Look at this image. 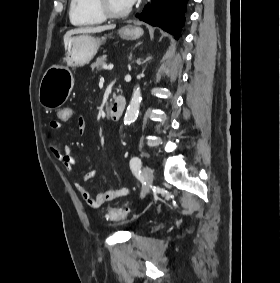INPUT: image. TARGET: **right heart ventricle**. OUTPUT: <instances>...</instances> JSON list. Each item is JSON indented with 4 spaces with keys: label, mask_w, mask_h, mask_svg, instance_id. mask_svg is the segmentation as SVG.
I'll return each mask as SVG.
<instances>
[{
    "label": "right heart ventricle",
    "mask_w": 280,
    "mask_h": 283,
    "mask_svg": "<svg viewBox=\"0 0 280 283\" xmlns=\"http://www.w3.org/2000/svg\"><path fill=\"white\" fill-rule=\"evenodd\" d=\"M69 17L76 26L100 24L105 17L98 11L94 0H71Z\"/></svg>",
    "instance_id": "right-heart-ventricle-1"
}]
</instances>
